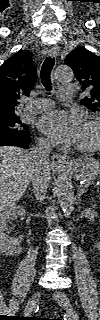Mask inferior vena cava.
Segmentation results:
<instances>
[{
  "instance_id": "602c4592",
  "label": "inferior vena cava",
  "mask_w": 100,
  "mask_h": 320,
  "mask_svg": "<svg viewBox=\"0 0 100 320\" xmlns=\"http://www.w3.org/2000/svg\"><path fill=\"white\" fill-rule=\"evenodd\" d=\"M51 151L50 142L44 139H39L37 146L30 151L35 160V169L31 181L35 198L40 202L45 199L47 193V184L49 180L48 157Z\"/></svg>"
}]
</instances>
